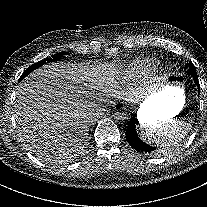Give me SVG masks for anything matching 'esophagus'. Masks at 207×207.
Returning <instances> with one entry per match:
<instances>
[{
  "instance_id": "esophagus-1",
  "label": "esophagus",
  "mask_w": 207,
  "mask_h": 207,
  "mask_svg": "<svg viewBox=\"0 0 207 207\" xmlns=\"http://www.w3.org/2000/svg\"><path fill=\"white\" fill-rule=\"evenodd\" d=\"M125 105L126 104H125L124 101H122V100L121 101H117L116 104H115V108L117 107V108H121V109L123 108L124 109L125 108ZM123 118H127V116L126 115H123Z\"/></svg>"
}]
</instances>
